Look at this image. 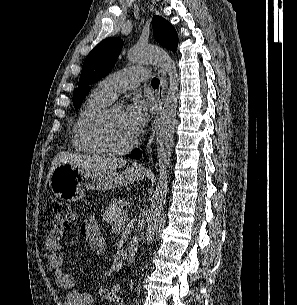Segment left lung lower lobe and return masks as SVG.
<instances>
[{
  "label": "left lung lower lobe",
  "instance_id": "1",
  "mask_svg": "<svg viewBox=\"0 0 297 305\" xmlns=\"http://www.w3.org/2000/svg\"><path fill=\"white\" fill-rule=\"evenodd\" d=\"M142 155V152L140 150H135L131 155L130 157L131 158H134V159H139Z\"/></svg>",
  "mask_w": 297,
  "mask_h": 305
}]
</instances>
